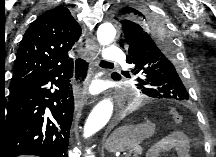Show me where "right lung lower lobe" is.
<instances>
[{"label": "right lung lower lobe", "mask_w": 216, "mask_h": 157, "mask_svg": "<svg viewBox=\"0 0 216 157\" xmlns=\"http://www.w3.org/2000/svg\"><path fill=\"white\" fill-rule=\"evenodd\" d=\"M72 73L73 62L10 89L0 109V157H68L74 112Z\"/></svg>", "instance_id": "right-lung-lower-lobe-1"}]
</instances>
